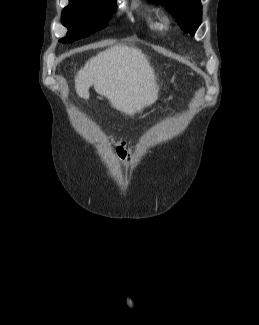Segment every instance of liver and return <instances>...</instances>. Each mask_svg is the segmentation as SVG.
Wrapping results in <instances>:
<instances>
[{
  "instance_id": "liver-1",
  "label": "liver",
  "mask_w": 259,
  "mask_h": 325,
  "mask_svg": "<svg viewBox=\"0 0 259 325\" xmlns=\"http://www.w3.org/2000/svg\"><path fill=\"white\" fill-rule=\"evenodd\" d=\"M106 97L117 110L134 115L158 98L154 71L138 48L115 45L90 58L75 77L79 97L89 99V88Z\"/></svg>"
}]
</instances>
